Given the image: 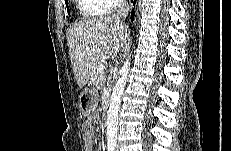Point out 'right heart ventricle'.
<instances>
[{"label": "right heart ventricle", "mask_w": 231, "mask_h": 151, "mask_svg": "<svg viewBox=\"0 0 231 151\" xmlns=\"http://www.w3.org/2000/svg\"><path fill=\"white\" fill-rule=\"evenodd\" d=\"M78 4L80 12L86 18L95 17L105 12L104 4L100 0H82L78 1Z\"/></svg>", "instance_id": "1"}]
</instances>
